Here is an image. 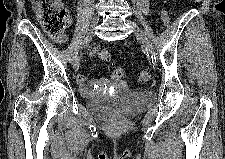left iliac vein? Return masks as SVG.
<instances>
[{
	"label": "left iliac vein",
	"instance_id": "obj_1",
	"mask_svg": "<svg viewBox=\"0 0 225 159\" xmlns=\"http://www.w3.org/2000/svg\"><path fill=\"white\" fill-rule=\"evenodd\" d=\"M129 24H131L132 28H133V32L134 35L141 41L142 45L144 46V48L149 52V53H153V46L151 41L148 39L146 33L140 28L138 27L135 23H132L130 21H128Z\"/></svg>",
	"mask_w": 225,
	"mask_h": 159
}]
</instances>
